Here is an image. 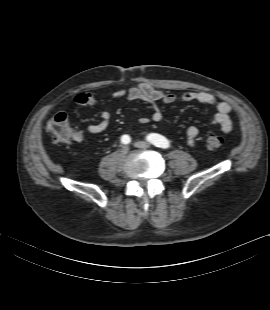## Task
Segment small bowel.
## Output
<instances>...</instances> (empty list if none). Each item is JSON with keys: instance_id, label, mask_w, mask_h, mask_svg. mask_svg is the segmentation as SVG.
Instances as JSON below:
<instances>
[{"instance_id": "c3829d8e", "label": "small bowel", "mask_w": 270, "mask_h": 310, "mask_svg": "<svg viewBox=\"0 0 270 310\" xmlns=\"http://www.w3.org/2000/svg\"><path fill=\"white\" fill-rule=\"evenodd\" d=\"M113 99L126 98L128 100H140L152 105V112L150 117H140L139 121L142 124H147L150 121L159 123L163 119L162 112L157 105V102H162L164 104H173L177 100L182 102H199L205 105L213 106L216 108L217 112L210 119L212 124L220 126L224 133H229L232 130V120L230 113L232 111V106L230 103L219 100L214 95L203 92V91H192L186 92L181 96H177L174 93L164 92L162 90L156 89L148 84H140L137 87L131 88L129 90L120 89L112 93ZM72 100L83 107H93L100 103V100L89 92H78L73 97ZM112 115L109 111L103 110L99 115L98 122L90 124L86 127V131L90 134H99L107 129L111 121ZM79 138L77 141L83 140V133L78 131ZM199 134V129L196 126H189L185 131L187 144L193 146L195 144L196 138Z\"/></svg>"}]
</instances>
